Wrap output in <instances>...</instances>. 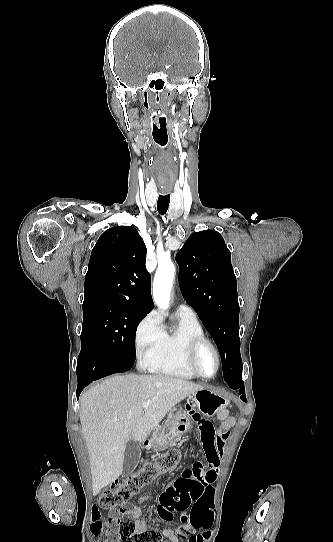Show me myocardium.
I'll return each mask as SVG.
<instances>
[{"label":"myocardium","mask_w":333,"mask_h":542,"mask_svg":"<svg viewBox=\"0 0 333 542\" xmlns=\"http://www.w3.org/2000/svg\"><path fill=\"white\" fill-rule=\"evenodd\" d=\"M204 346L209 347L210 350L212 351L214 357H215L216 369H215V372L210 376H205V375L201 374L199 372L198 368H197V365H196L197 355H198L199 351L201 350V348L204 347ZM185 362H186L187 368L190 370V372L194 376L199 377V378H203V379H212V378H214L217 375V373L219 372L220 366H221L220 355H219V352H218L216 346L213 344L212 341H210L209 339H207L205 337L195 339V340L191 341L187 345L186 351H185Z\"/></svg>","instance_id":"obj_1"}]
</instances>
